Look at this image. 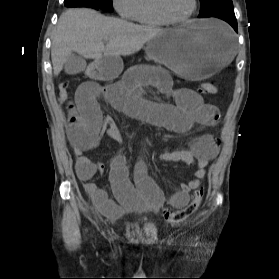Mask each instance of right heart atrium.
<instances>
[{
	"mask_svg": "<svg viewBox=\"0 0 279 279\" xmlns=\"http://www.w3.org/2000/svg\"><path fill=\"white\" fill-rule=\"evenodd\" d=\"M116 12L125 19H133L137 0H112Z\"/></svg>",
	"mask_w": 279,
	"mask_h": 279,
	"instance_id": "right-heart-atrium-1",
	"label": "right heart atrium"
}]
</instances>
